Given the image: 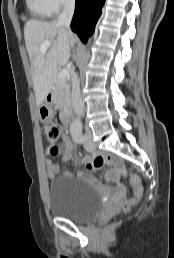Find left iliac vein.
<instances>
[{
    "label": "left iliac vein",
    "instance_id": "obj_1",
    "mask_svg": "<svg viewBox=\"0 0 174 258\" xmlns=\"http://www.w3.org/2000/svg\"><path fill=\"white\" fill-rule=\"evenodd\" d=\"M85 149L88 151H92L94 150L95 146H94V142L91 139V135L87 134L85 137Z\"/></svg>",
    "mask_w": 174,
    "mask_h": 258
}]
</instances>
